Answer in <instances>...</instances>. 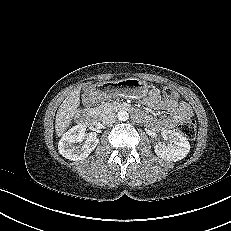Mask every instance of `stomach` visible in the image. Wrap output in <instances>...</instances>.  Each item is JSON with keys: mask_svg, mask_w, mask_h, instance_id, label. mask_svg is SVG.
<instances>
[{"mask_svg": "<svg viewBox=\"0 0 231 231\" xmlns=\"http://www.w3.org/2000/svg\"><path fill=\"white\" fill-rule=\"evenodd\" d=\"M107 93L111 96L140 99L149 93V85L138 78H126L110 82Z\"/></svg>", "mask_w": 231, "mask_h": 231, "instance_id": "obj_1", "label": "stomach"}]
</instances>
